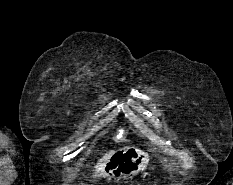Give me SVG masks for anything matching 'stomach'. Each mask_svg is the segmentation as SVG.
I'll return each instance as SVG.
<instances>
[{
  "label": "stomach",
  "instance_id": "0dacf381",
  "mask_svg": "<svg viewBox=\"0 0 233 185\" xmlns=\"http://www.w3.org/2000/svg\"><path fill=\"white\" fill-rule=\"evenodd\" d=\"M149 162L147 153L136 147H124L116 150L104 166L107 179H131L144 170Z\"/></svg>",
  "mask_w": 233,
  "mask_h": 185
}]
</instances>
